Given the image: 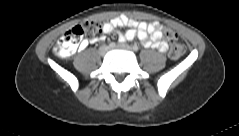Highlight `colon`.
Wrapping results in <instances>:
<instances>
[{"instance_id": "1", "label": "colon", "mask_w": 239, "mask_h": 136, "mask_svg": "<svg viewBox=\"0 0 239 136\" xmlns=\"http://www.w3.org/2000/svg\"><path fill=\"white\" fill-rule=\"evenodd\" d=\"M101 30V22L98 20H88L81 25H77L64 33L58 40L55 52L60 57H66L74 53L86 35L94 37ZM164 35L171 46L169 49V57L172 60H178L185 52L184 45L177 43V34L169 29H164Z\"/></svg>"}]
</instances>
